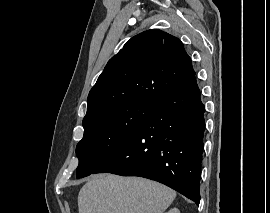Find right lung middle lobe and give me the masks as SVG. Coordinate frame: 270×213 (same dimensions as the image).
<instances>
[{
	"label": "right lung middle lobe",
	"mask_w": 270,
	"mask_h": 213,
	"mask_svg": "<svg viewBox=\"0 0 270 213\" xmlns=\"http://www.w3.org/2000/svg\"><path fill=\"white\" fill-rule=\"evenodd\" d=\"M156 103L135 100L83 121L84 136L76 147L77 178L93 174L138 130Z\"/></svg>",
	"instance_id": "right-lung-middle-lobe-1"
}]
</instances>
